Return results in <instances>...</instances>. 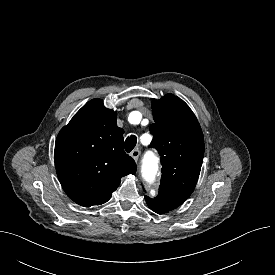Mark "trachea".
<instances>
[{
  "label": "trachea",
  "mask_w": 275,
  "mask_h": 275,
  "mask_svg": "<svg viewBox=\"0 0 275 275\" xmlns=\"http://www.w3.org/2000/svg\"><path fill=\"white\" fill-rule=\"evenodd\" d=\"M137 143V137L135 135H131L130 137H127L125 140V150L126 152H131Z\"/></svg>",
  "instance_id": "3493384b"
}]
</instances>
